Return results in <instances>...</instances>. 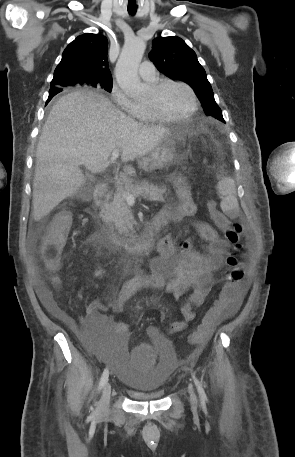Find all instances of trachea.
<instances>
[{"instance_id":"trachea-1","label":"trachea","mask_w":295,"mask_h":457,"mask_svg":"<svg viewBox=\"0 0 295 457\" xmlns=\"http://www.w3.org/2000/svg\"><path fill=\"white\" fill-rule=\"evenodd\" d=\"M128 12H129L131 15L136 14V12H137V7H136V5H133V6L128 5Z\"/></svg>"}]
</instances>
